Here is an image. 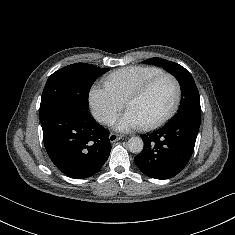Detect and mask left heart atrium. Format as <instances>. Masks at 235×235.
Wrapping results in <instances>:
<instances>
[{
    "label": "left heart atrium",
    "mask_w": 235,
    "mask_h": 235,
    "mask_svg": "<svg viewBox=\"0 0 235 235\" xmlns=\"http://www.w3.org/2000/svg\"><path fill=\"white\" fill-rule=\"evenodd\" d=\"M111 125L116 130L126 132L140 128L142 126V123L139 118L131 110L128 109L124 114L113 119Z\"/></svg>",
    "instance_id": "1"
}]
</instances>
